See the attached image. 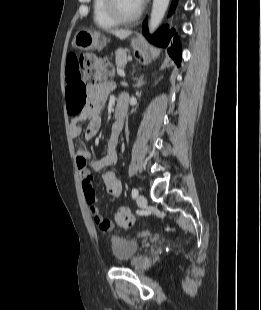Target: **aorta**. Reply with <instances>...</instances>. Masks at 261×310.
I'll list each match as a JSON object with an SVG mask.
<instances>
[{"label":"aorta","instance_id":"1","mask_svg":"<svg viewBox=\"0 0 261 310\" xmlns=\"http://www.w3.org/2000/svg\"><path fill=\"white\" fill-rule=\"evenodd\" d=\"M170 0H153V6L149 21V31L153 33L156 31L162 22L164 15L167 11Z\"/></svg>","mask_w":261,"mask_h":310}]
</instances>
